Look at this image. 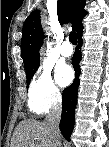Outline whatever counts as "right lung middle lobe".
<instances>
[{"mask_svg": "<svg viewBox=\"0 0 109 147\" xmlns=\"http://www.w3.org/2000/svg\"><path fill=\"white\" fill-rule=\"evenodd\" d=\"M38 69L37 67L31 68L29 70L26 71V77H27V85L29 84V82L31 81L34 73L36 72V70Z\"/></svg>", "mask_w": 109, "mask_h": 147, "instance_id": "1", "label": "right lung middle lobe"}]
</instances>
